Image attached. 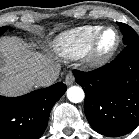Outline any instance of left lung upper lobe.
Masks as SVG:
<instances>
[{
    "label": "left lung upper lobe",
    "instance_id": "5c2ea615",
    "mask_svg": "<svg viewBox=\"0 0 139 139\" xmlns=\"http://www.w3.org/2000/svg\"><path fill=\"white\" fill-rule=\"evenodd\" d=\"M120 27L121 32L123 33V43L125 45L139 42V37L137 33L127 24L117 22Z\"/></svg>",
    "mask_w": 139,
    "mask_h": 139
}]
</instances>
